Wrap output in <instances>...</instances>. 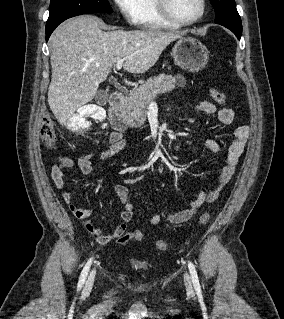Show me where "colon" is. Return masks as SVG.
<instances>
[{
	"mask_svg": "<svg viewBox=\"0 0 284 319\" xmlns=\"http://www.w3.org/2000/svg\"><path fill=\"white\" fill-rule=\"evenodd\" d=\"M211 98L214 102L224 105L227 101L226 96L219 90L211 89L210 90ZM40 135L42 142L47 147H53L56 141V131L54 129V125L52 119L49 116L43 118L41 123ZM210 219V216L207 212L203 213L200 216L199 222L200 224H206ZM143 239V234L140 231H136L133 233H127L117 239L119 244H126L131 240L141 241ZM167 242L164 240H159L156 243V247L159 251H165L167 249Z\"/></svg>",
	"mask_w": 284,
	"mask_h": 319,
	"instance_id": "colon-1",
	"label": "colon"
}]
</instances>
